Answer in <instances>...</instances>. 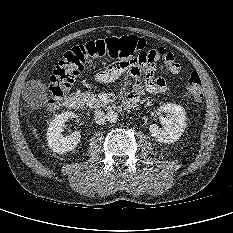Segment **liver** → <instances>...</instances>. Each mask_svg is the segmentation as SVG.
<instances>
[{
	"instance_id": "liver-1",
	"label": "liver",
	"mask_w": 233,
	"mask_h": 233,
	"mask_svg": "<svg viewBox=\"0 0 233 233\" xmlns=\"http://www.w3.org/2000/svg\"><path fill=\"white\" fill-rule=\"evenodd\" d=\"M32 130H33L35 136L38 138V135H37V133H36V129H35L34 127H32Z\"/></svg>"
}]
</instances>
